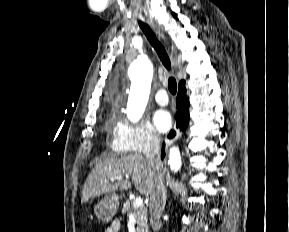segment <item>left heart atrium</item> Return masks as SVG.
Here are the masks:
<instances>
[{"label": "left heart atrium", "mask_w": 289, "mask_h": 232, "mask_svg": "<svg viewBox=\"0 0 289 232\" xmlns=\"http://www.w3.org/2000/svg\"><path fill=\"white\" fill-rule=\"evenodd\" d=\"M153 121L156 128L160 132H166L172 126V118L168 111L166 110H158L155 112L153 116Z\"/></svg>", "instance_id": "obj_1"}]
</instances>
